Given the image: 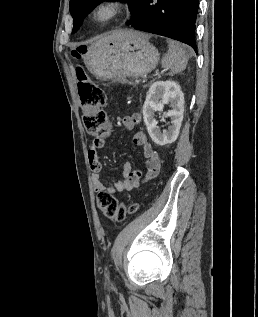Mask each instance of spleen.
Segmentation results:
<instances>
[{
	"mask_svg": "<svg viewBox=\"0 0 258 317\" xmlns=\"http://www.w3.org/2000/svg\"><path fill=\"white\" fill-rule=\"evenodd\" d=\"M192 48L187 46L186 50L180 46L179 42L175 40H169V50L165 56H163L162 66L163 68H170V74H176L181 72L187 66L189 56H192Z\"/></svg>",
	"mask_w": 258,
	"mask_h": 317,
	"instance_id": "1",
	"label": "spleen"
}]
</instances>
